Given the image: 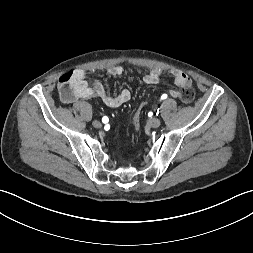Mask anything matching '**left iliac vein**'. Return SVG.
Listing matches in <instances>:
<instances>
[{
  "label": "left iliac vein",
  "mask_w": 253,
  "mask_h": 253,
  "mask_svg": "<svg viewBox=\"0 0 253 253\" xmlns=\"http://www.w3.org/2000/svg\"><path fill=\"white\" fill-rule=\"evenodd\" d=\"M161 125V120L158 118H153L149 121V126L152 128H158Z\"/></svg>",
  "instance_id": "left-iliac-vein-1"
}]
</instances>
